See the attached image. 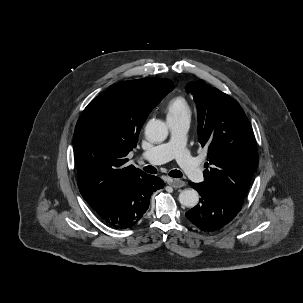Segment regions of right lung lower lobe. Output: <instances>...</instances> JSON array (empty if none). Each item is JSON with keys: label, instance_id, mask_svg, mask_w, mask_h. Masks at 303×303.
<instances>
[{"label": "right lung lower lobe", "instance_id": "1", "mask_svg": "<svg viewBox=\"0 0 303 303\" xmlns=\"http://www.w3.org/2000/svg\"><path fill=\"white\" fill-rule=\"evenodd\" d=\"M163 186L160 178L142 172L107 191L92 208L113 228H131L147 211L153 191Z\"/></svg>", "mask_w": 303, "mask_h": 303}]
</instances>
